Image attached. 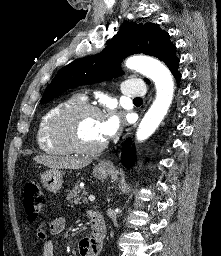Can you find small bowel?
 I'll list each match as a JSON object with an SVG mask.
<instances>
[{"instance_id": "small-bowel-1", "label": "small bowel", "mask_w": 221, "mask_h": 256, "mask_svg": "<svg viewBox=\"0 0 221 256\" xmlns=\"http://www.w3.org/2000/svg\"><path fill=\"white\" fill-rule=\"evenodd\" d=\"M65 229V219L63 217H53L43 221L38 225V235L43 240L42 256H54V244L46 238V234H59ZM101 244L94 243L89 237H85L79 242L80 256H98Z\"/></svg>"}]
</instances>
